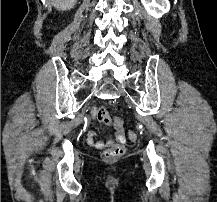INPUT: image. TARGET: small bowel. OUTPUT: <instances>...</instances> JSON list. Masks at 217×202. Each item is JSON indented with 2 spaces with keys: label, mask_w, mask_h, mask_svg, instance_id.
I'll list each match as a JSON object with an SVG mask.
<instances>
[{
  "label": "small bowel",
  "mask_w": 217,
  "mask_h": 202,
  "mask_svg": "<svg viewBox=\"0 0 217 202\" xmlns=\"http://www.w3.org/2000/svg\"><path fill=\"white\" fill-rule=\"evenodd\" d=\"M92 116L94 119L98 118V111L94 110L92 113ZM98 120V119H97ZM102 123H104V121H100ZM113 126L115 128V133H116V139L120 142L123 143L125 141V137H124V130L122 125L120 124V122L118 120H114L113 121ZM86 141L90 146H93L97 149H101L106 145H110L112 144L111 140H108L107 142H103V141H96L95 140V132L94 131H88L87 135H86Z\"/></svg>",
  "instance_id": "small-bowel-1"
}]
</instances>
